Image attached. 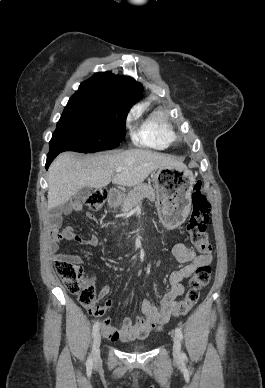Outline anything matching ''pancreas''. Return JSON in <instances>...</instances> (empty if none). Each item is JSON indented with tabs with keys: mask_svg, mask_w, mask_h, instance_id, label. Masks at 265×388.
Masks as SVG:
<instances>
[{
	"mask_svg": "<svg viewBox=\"0 0 265 388\" xmlns=\"http://www.w3.org/2000/svg\"><path fill=\"white\" fill-rule=\"evenodd\" d=\"M148 198L151 202H155V192L150 184H138L133 190H130L127 194L123 204L122 212H130L137 204H140L141 200Z\"/></svg>",
	"mask_w": 265,
	"mask_h": 388,
	"instance_id": "obj_1",
	"label": "pancreas"
}]
</instances>
